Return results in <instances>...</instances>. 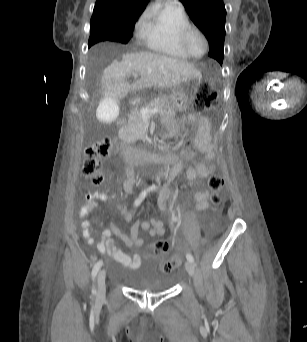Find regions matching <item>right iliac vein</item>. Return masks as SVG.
<instances>
[{
    "label": "right iliac vein",
    "mask_w": 307,
    "mask_h": 342,
    "mask_svg": "<svg viewBox=\"0 0 307 342\" xmlns=\"http://www.w3.org/2000/svg\"><path fill=\"white\" fill-rule=\"evenodd\" d=\"M105 279H106V270L102 269L100 270L97 276V297L99 299H103L106 294Z\"/></svg>",
    "instance_id": "1"
}]
</instances>
